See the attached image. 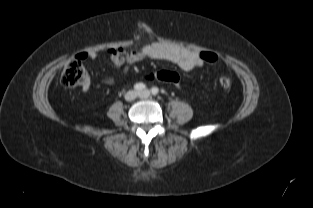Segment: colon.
Segmentation results:
<instances>
[{
  "label": "colon",
  "mask_w": 313,
  "mask_h": 208,
  "mask_svg": "<svg viewBox=\"0 0 313 208\" xmlns=\"http://www.w3.org/2000/svg\"><path fill=\"white\" fill-rule=\"evenodd\" d=\"M201 59L204 63L216 64L218 62V55L211 51H203L200 53ZM147 79L158 80L166 83H170L181 90V78L178 73L174 71L161 70L157 72L150 73ZM61 82L65 87L75 88L84 86L87 82V74L79 60L70 61L62 74ZM219 84L223 89H229L232 85L229 76H221L219 79Z\"/></svg>",
  "instance_id": "5ec220e1"
}]
</instances>
